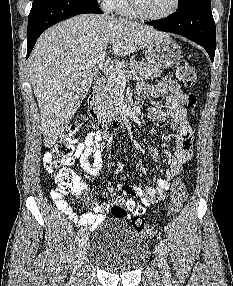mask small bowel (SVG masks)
Listing matches in <instances>:
<instances>
[{"mask_svg":"<svg viewBox=\"0 0 233 286\" xmlns=\"http://www.w3.org/2000/svg\"><path fill=\"white\" fill-rule=\"evenodd\" d=\"M146 94L154 98L165 96L164 107H150L148 117L154 121L168 120L170 122L175 148L174 150L164 149L162 151L152 147L148 148L150 159L153 162H159L161 155L166 160V165L161 170L162 176L154 178L155 187L141 188L126 182L117 184V188L122 194L129 197L128 199L120 197L119 202L135 214L143 212L145 206L166 197L172 179L179 174L182 164L192 156L193 132L187 121L186 93L182 91L178 83L166 77L156 85L139 84L137 86V95L144 96ZM102 140L103 133L101 131L87 134L83 141L77 143L73 157L67 160L66 165H73L76 160H79L84 172L91 176L97 175L103 166L100 153ZM123 169L124 164L117 166L118 171ZM72 192L81 196L86 204L92 208V211L84 213L80 217L76 216L72 205L65 200L67 192L59 188L52 191L51 197L55 205L75 224L89 227L90 230L96 229L106 219L104 212L106 208L105 199L95 200L84 186L80 191Z\"/></svg>","mask_w":233,"mask_h":286,"instance_id":"c3829d8e","label":"small bowel"}]
</instances>
